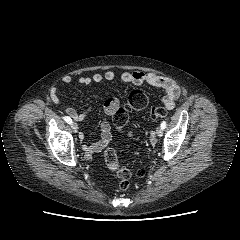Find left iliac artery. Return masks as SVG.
<instances>
[{"label": "left iliac artery", "mask_w": 240, "mask_h": 240, "mask_svg": "<svg viewBox=\"0 0 240 240\" xmlns=\"http://www.w3.org/2000/svg\"><path fill=\"white\" fill-rule=\"evenodd\" d=\"M166 125H167V124H166V121H163V122L161 123V128H162V129H165V128H166Z\"/></svg>", "instance_id": "44dca946"}]
</instances>
